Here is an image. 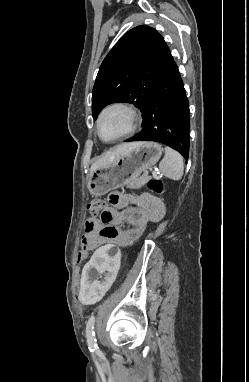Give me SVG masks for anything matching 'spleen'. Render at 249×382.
Wrapping results in <instances>:
<instances>
[{"label":"spleen","mask_w":249,"mask_h":382,"mask_svg":"<svg viewBox=\"0 0 249 382\" xmlns=\"http://www.w3.org/2000/svg\"><path fill=\"white\" fill-rule=\"evenodd\" d=\"M164 154L159 163L161 173L172 180H180L184 171L183 157L170 147L164 148Z\"/></svg>","instance_id":"spleen-1"}]
</instances>
